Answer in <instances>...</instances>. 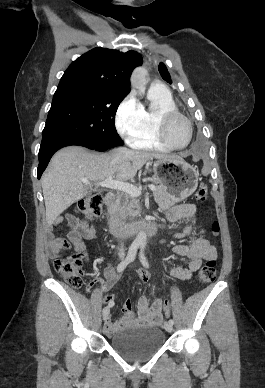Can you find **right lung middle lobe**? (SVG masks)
Masks as SVG:
<instances>
[{
	"label": "right lung middle lobe",
	"mask_w": 265,
	"mask_h": 388,
	"mask_svg": "<svg viewBox=\"0 0 265 388\" xmlns=\"http://www.w3.org/2000/svg\"><path fill=\"white\" fill-rule=\"evenodd\" d=\"M126 96L117 91L55 93L42 132V143L59 137H76L101 148L123 145L115 128V114Z\"/></svg>",
	"instance_id": "1"
}]
</instances>
